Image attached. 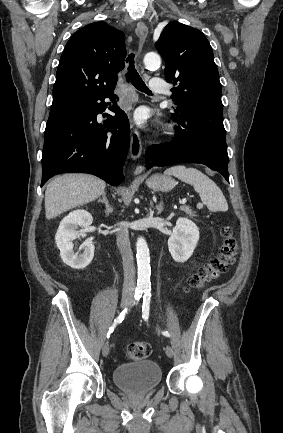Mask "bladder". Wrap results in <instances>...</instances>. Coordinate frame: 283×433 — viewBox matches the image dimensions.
Listing matches in <instances>:
<instances>
[{
  "mask_svg": "<svg viewBox=\"0 0 283 433\" xmlns=\"http://www.w3.org/2000/svg\"><path fill=\"white\" fill-rule=\"evenodd\" d=\"M162 374L153 360H137L118 365L113 371V382L126 391L146 392L157 388Z\"/></svg>",
  "mask_w": 283,
  "mask_h": 433,
  "instance_id": "obj_1",
  "label": "bladder"
}]
</instances>
